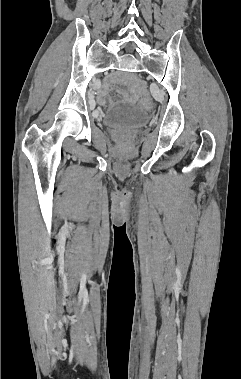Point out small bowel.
Segmentation results:
<instances>
[{
	"mask_svg": "<svg viewBox=\"0 0 241 379\" xmlns=\"http://www.w3.org/2000/svg\"><path fill=\"white\" fill-rule=\"evenodd\" d=\"M114 82L108 80L104 83L103 87L98 91V101L101 105L106 104L108 91L112 88ZM124 100L130 103H135L138 98L136 95L124 94Z\"/></svg>",
	"mask_w": 241,
	"mask_h": 379,
	"instance_id": "c3829d8e",
	"label": "small bowel"
}]
</instances>
